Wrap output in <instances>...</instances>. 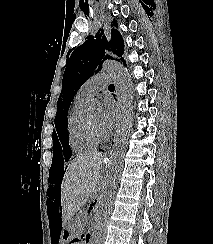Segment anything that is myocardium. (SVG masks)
I'll return each mask as SVG.
<instances>
[{
  "label": "myocardium",
  "instance_id": "obj_1",
  "mask_svg": "<svg viewBox=\"0 0 213 244\" xmlns=\"http://www.w3.org/2000/svg\"><path fill=\"white\" fill-rule=\"evenodd\" d=\"M87 122H88V126L89 129L92 133V135L98 140V141H105L108 139L109 135L106 132H100L91 122V120L89 119V117H87Z\"/></svg>",
  "mask_w": 213,
  "mask_h": 244
}]
</instances>
